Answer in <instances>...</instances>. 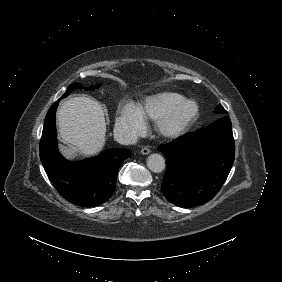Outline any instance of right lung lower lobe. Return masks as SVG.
<instances>
[{"mask_svg": "<svg viewBox=\"0 0 282 282\" xmlns=\"http://www.w3.org/2000/svg\"><path fill=\"white\" fill-rule=\"evenodd\" d=\"M59 100L50 107L45 118L40 141L41 162L63 198L84 207L101 205L114 193L118 170L132 152L122 148L109 149L92 159L65 160L57 150L56 141L55 113Z\"/></svg>", "mask_w": 282, "mask_h": 282, "instance_id": "98d812e1", "label": "right lung lower lobe"}]
</instances>
